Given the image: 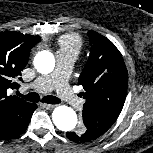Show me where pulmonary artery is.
<instances>
[{
	"label": "pulmonary artery",
	"mask_w": 153,
	"mask_h": 153,
	"mask_svg": "<svg viewBox=\"0 0 153 153\" xmlns=\"http://www.w3.org/2000/svg\"><path fill=\"white\" fill-rule=\"evenodd\" d=\"M75 59L76 55L73 53L58 51L55 70L51 74L38 77L30 87L40 92L56 89L58 96L63 101L73 107H80L83 100L75 95L68 84V77Z\"/></svg>",
	"instance_id": "pulmonary-artery-1"
}]
</instances>
